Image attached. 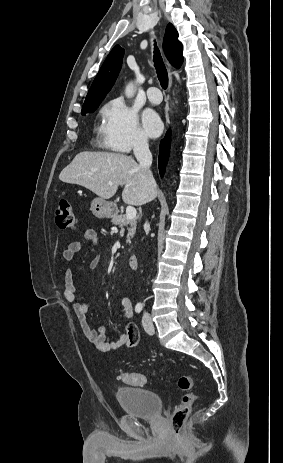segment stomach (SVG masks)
I'll use <instances>...</instances> for the list:
<instances>
[{"label": "stomach", "mask_w": 283, "mask_h": 463, "mask_svg": "<svg viewBox=\"0 0 283 463\" xmlns=\"http://www.w3.org/2000/svg\"><path fill=\"white\" fill-rule=\"evenodd\" d=\"M90 210L97 218H110L115 213V206L113 203L99 197L92 200Z\"/></svg>", "instance_id": "1"}]
</instances>
